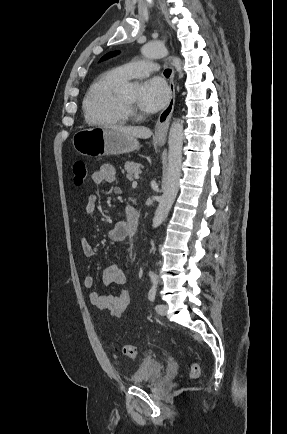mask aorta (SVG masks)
I'll list each match as a JSON object with an SVG mask.
<instances>
[{
  "label": "aorta",
  "instance_id": "762f6f07",
  "mask_svg": "<svg viewBox=\"0 0 287 434\" xmlns=\"http://www.w3.org/2000/svg\"><path fill=\"white\" fill-rule=\"evenodd\" d=\"M141 53L146 58H163L168 55V50L160 42L147 43L141 48ZM172 63L179 73L183 76L182 63L179 58L173 57ZM129 84L127 88H131ZM169 153L167 179L163 195L153 218V228L160 226L167 217L178 193L179 180L181 176L182 146H183V122L179 119L174 120L169 133Z\"/></svg>",
  "mask_w": 287,
  "mask_h": 434
}]
</instances>
